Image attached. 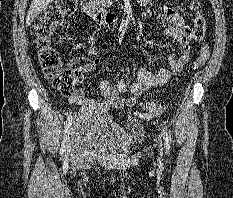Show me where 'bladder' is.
Listing matches in <instances>:
<instances>
[{
    "label": "bladder",
    "mask_w": 233,
    "mask_h": 198,
    "mask_svg": "<svg viewBox=\"0 0 233 198\" xmlns=\"http://www.w3.org/2000/svg\"><path fill=\"white\" fill-rule=\"evenodd\" d=\"M144 129L137 122L121 124L100 112L85 111L75 116L71 140L77 149L112 156L131 152L143 139Z\"/></svg>",
    "instance_id": "obj_1"
}]
</instances>
